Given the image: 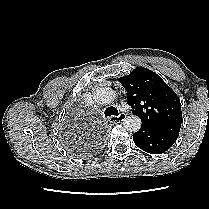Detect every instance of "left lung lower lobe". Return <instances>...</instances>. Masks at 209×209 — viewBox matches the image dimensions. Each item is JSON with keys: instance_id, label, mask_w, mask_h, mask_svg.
Returning a JSON list of instances; mask_svg holds the SVG:
<instances>
[{"instance_id": "1", "label": "left lung lower lobe", "mask_w": 209, "mask_h": 209, "mask_svg": "<svg viewBox=\"0 0 209 209\" xmlns=\"http://www.w3.org/2000/svg\"><path fill=\"white\" fill-rule=\"evenodd\" d=\"M178 136L159 132L143 126L133 134L134 143L145 152L161 154L167 151L177 140Z\"/></svg>"}]
</instances>
